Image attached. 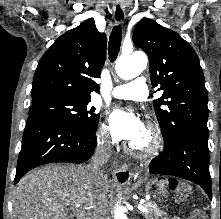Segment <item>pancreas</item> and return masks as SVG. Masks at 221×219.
Returning a JSON list of instances; mask_svg holds the SVG:
<instances>
[{
  "label": "pancreas",
  "instance_id": "obj_1",
  "mask_svg": "<svg viewBox=\"0 0 221 219\" xmlns=\"http://www.w3.org/2000/svg\"><path fill=\"white\" fill-rule=\"evenodd\" d=\"M143 207L147 208L148 211L144 212L143 215L146 219H169L167 218V213L164 210H161L156 204L153 202H145ZM173 219H179L178 217H174Z\"/></svg>",
  "mask_w": 221,
  "mask_h": 219
}]
</instances>
